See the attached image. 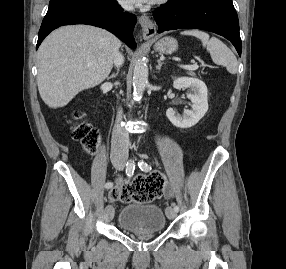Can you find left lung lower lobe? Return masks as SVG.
<instances>
[{
  "mask_svg": "<svg viewBox=\"0 0 286 269\" xmlns=\"http://www.w3.org/2000/svg\"><path fill=\"white\" fill-rule=\"evenodd\" d=\"M158 33L203 29L227 38L241 56L239 22L232 0H169L154 11Z\"/></svg>",
  "mask_w": 286,
  "mask_h": 269,
  "instance_id": "1",
  "label": "left lung lower lobe"
}]
</instances>
